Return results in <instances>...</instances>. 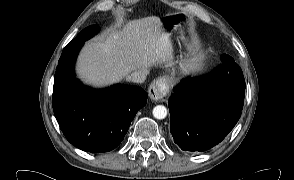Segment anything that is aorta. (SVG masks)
<instances>
[{"label":"aorta","instance_id":"762f6f07","mask_svg":"<svg viewBox=\"0 0 294 180\" xmlns=\"http://www.w3.org/2000/svg\"><path fill=\"white\" fill-rule=\"evenodd\" d=\"M153 116L156 118V119H164L166 116H167V109L165 106L163 105H157L153 108Z\"/></svg>","mask_w":294,"mask_h":180}]
</instances>
